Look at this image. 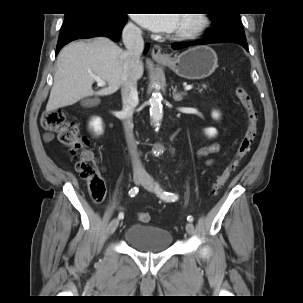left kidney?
Masks as SVG:
<instances>
[{
    "label": "left kidney",
    "instance_id": "1",
    "mask_svg": "<svg viewBox=\"0 0 303 303\" xmlns=\"http://www.w3.org/2000/svg\"><path fill=\"white\" fill-rule=\"evenodd\" d=\"M220 117V114H219V112H217V111H213L212 112V118L213 119H218ZM205 134L207 135V136H209V137H214L216 134H217V130L215 129V128H212V127H210V128H206L205 129Z\"/></svg>",
    "mask_w": 303,
    "mask_h": 303
}]
</instances>
